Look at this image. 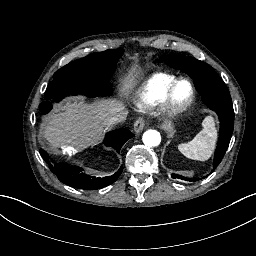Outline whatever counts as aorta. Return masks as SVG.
I'll list each match as a JSON object with an SVG mask.
<instances>
[{"instance_id":"762f6f07","label":"aorta","mask_w":256,"mask_h":256,"mask_svg":"<svg viewBox=\"0 0 256 256\" xmlns=\"http://www.w3.org/2000/svg\"><path fill=\"white\" fill-rule=\"evenodd\" d=\"M143 143L150 147H157L161 143V135L156 130H147L142 137Z\"/></svg>"}]
</instances>
